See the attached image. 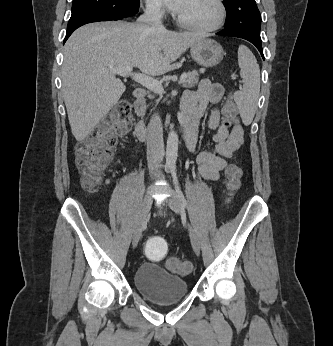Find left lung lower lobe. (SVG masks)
Here are the masks:
<instances>
[{
	"mask_svg": "<svg viewBox=\"0 0 333 346\" xmlns=\"http://www.w3.org/2000/svg\"><path fill=\"white\" fill-rule=\"evenodd\" d=\"M217 34L218 35L238 37V38H243L245 40H248L249 42H251L252 44H254L257 47V49L259 50L261 56L264 59L261 39L252 37V36L242 32V31L235 30V29H226V28H224L222 31L218 32Z\"/></svg>",
	"mask_w": 333,
	"mask_h": 346,
	"instance_id": "1",
	"label": "left lung lower lobe"
}]
</instances>
